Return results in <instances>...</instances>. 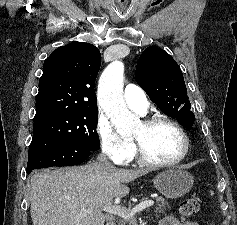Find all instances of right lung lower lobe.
<instances>
[{"label": "right lung lower lobe", "instance_id": "obj_1", "mask_svg": "<svg viewBox=\"0 0 237 225\" xmlns=\"http://www.w3.org/2000/svg\"><path fill=\"white\" fill-rule=\"evenodd\" d=\"M91 150L44 136H34L29 147L27 174L52 166H71L84 162Z\"/></svg>", "mask_w": 237, "mask_h": 225}]
</instances>
